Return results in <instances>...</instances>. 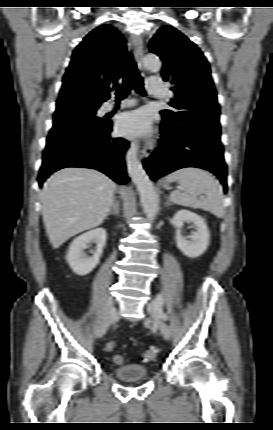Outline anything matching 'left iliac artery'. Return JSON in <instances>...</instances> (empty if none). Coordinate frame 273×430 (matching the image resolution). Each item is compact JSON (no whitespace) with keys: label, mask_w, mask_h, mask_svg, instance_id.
I'll use <instances>...</instances> for the list:
<instances>
[{"label":"left iliac artery","mask_w":273,"mask_h":430,"mask_svg":"<svg viewBox=\"0 0 273 430\" xmlns=\"http://www.w3.org/2000/svg\"><path fill=\"white\" fill-rule=\"evenodd\" d=\"M155 302L157 306L160 308V316L163 320H168V316L163 312L162 305H163V297L161 294H158L155 298Z\"/></svg>","instance_id":"44dca946"}]
</instances>
